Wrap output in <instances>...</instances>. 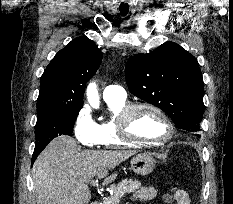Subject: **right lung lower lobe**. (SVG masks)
Instances as JSON below:
<instances>
[{"label":"right lung lower lobe","mask_w":233,"mask_h":204,"mask_svg":"<svg viewBox=\"0 0 233 204\" xmlns=\"http://www.w3.org/2000/svg\"><path fill=\"white\" fill-rule=\"evenodd\" d=\"M46 145L35 146L34 153H33V156H32V165H33L34 161L36 160L37 156L46 147Z\"/></svg>","instance_id":"1"}]
</instances>
